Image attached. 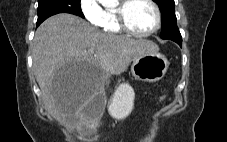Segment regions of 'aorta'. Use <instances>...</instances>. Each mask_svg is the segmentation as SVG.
Here are the masks:
<instances>
[{
	"instance_id": "aorta-1",
	"label": "aorta",
	"mask_w": 227,
	"mask_h": 142,
	"mask_svg": "<svg viewBox=\"0 0 227 142\" xmlns=\"http://www.w3.org/2000/svg\"><path fill=\"white\" fill-rule=\"evenodd\" d=\"M101 2L105 5H112L117 2V0H101Z\"/></svg>"
}]
</instances>
